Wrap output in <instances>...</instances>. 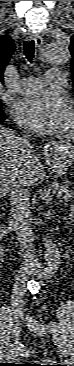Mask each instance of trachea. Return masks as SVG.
<instances>
[{
  "mask_svg": "<svg viewBox=\"0 0 74 366\" xmlns=\"http://www.w3.org/2000/svg\"><path fill=\"white\" fill-rule=\"evenodd\" d=\"M24 54L27 60L32 63L35 54V43L34 40L25 41L23 44Z\"/></svg>",
  "mask_w": 74,
  "mask_h": 366,
  "instance_id": "obj_1",
  "label": "trachea"
}]
</instances>
